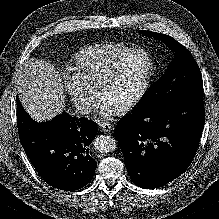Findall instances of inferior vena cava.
<instances>
[{
    "label": "inferior vena cava",
    "mask_w": 219,
    "mask_h": 219,
    "mask_svg": "<svg viewBox=\"0 0 219 219\" xmlns=\"http://www.w3.org/2000/svg\"><path fill=\"white\" fill-rule=\"evenodd\" d=\"M76 112L81 115H87L92 112V106L89 102H79L76 104Z\"/></svg>",
    "instance_id": "obj_1"
}]
</instances>
